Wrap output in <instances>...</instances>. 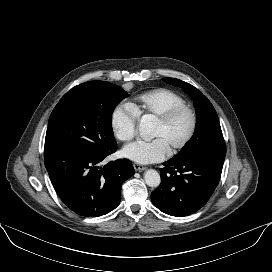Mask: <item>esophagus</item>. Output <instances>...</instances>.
Wrapping results in <instances>:
<instances>
[{"mask_svg": "<svg viewBox=\"0 0 272 272\" xmlns=\"http://www.w3.org/2000/svg\"><path fill=\"white\" fill-rule=\"evenodd\" d=\"M133 167H134L135 171H138V172H141V171H143L145 169L144 166H142L140 164H137V163H134Z\"/></svg>", "mask_w": 272, "mask_h": 272, "instance_id": "1", "label": "esophagus"}]
</instances>
